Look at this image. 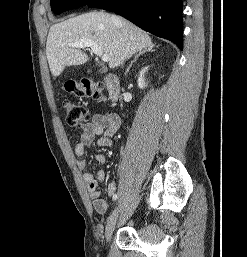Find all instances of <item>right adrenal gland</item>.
<instances>
[{
    "mask_svg": "<svg viewBox=\"0 0 247 257\" xmlns=\"http://www.w3.org/2000/svg\"><path fill=\"white\" fill-rule=\"evenodd\" d=\"M153 51H154L153 49L148 48V49H145V50L139 52V53L135 56V58L131 61L129 67H128L127 70L125 71V75L128 74V72H129L130 68L132 67L133 63L136 62L137 59H138L141 55H143V54H145V53H147V52H153Z\"/></svg>",
    "mask_w": 247,
    "mask_h": 257,
    "instance_id": "2a0ac1e0",
    "label": "right adrenal gland"
}]
</instances>
